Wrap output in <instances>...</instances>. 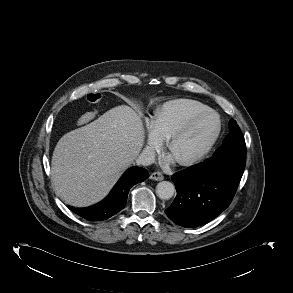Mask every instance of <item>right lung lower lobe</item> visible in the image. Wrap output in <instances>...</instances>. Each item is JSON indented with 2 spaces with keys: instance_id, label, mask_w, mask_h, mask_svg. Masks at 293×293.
<instances>
[{
  "instance_id": "obj_1",
  "label": "right lung lower lobe",
  "mask_w": 293,
  "mask_h": 293,
  "mask_svg": "<svg viewBox=\"0 0 293 293\" xmlns=\"http://www.w3.org/2000/svg\"><path fill=\"white\" fill-rule=\"evenodd\" d=\"M148 177L149 173L146 169L132 167L121 176L107 197L101 202L87 208H74L69 206V209L90 221L108 219L125 207L129 189L134 184L142 182Z\"/></svg>"
}]
</instances>
